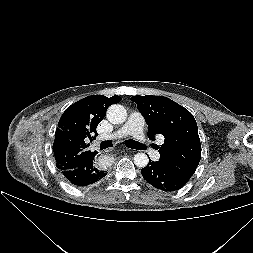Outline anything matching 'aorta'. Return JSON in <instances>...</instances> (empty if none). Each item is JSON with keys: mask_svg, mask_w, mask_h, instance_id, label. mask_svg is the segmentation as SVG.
<instances>
[{"mask_svg": "<svg viewBox=\"0 0 253 253\" xmlns=\"http://www.w3.org/2000/svg\"><path fill=\"white\" fill-rule=\"evenodd\" d=\"M107 119L113 124L124 123L127 119V111L120 104H113L107 110ZM148 157L144 153H137L134 156V164L137 167L144 168L148 164Z\"/></svg>", "mask_w": 253, "mask_h": 253, "instance_id": "aorta-1", "label": "aorta"}]
</instances>
